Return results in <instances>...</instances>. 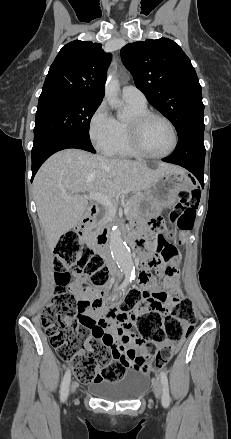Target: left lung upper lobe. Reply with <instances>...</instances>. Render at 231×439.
Listing matches in <instances>:
<instances>
[{"instance_id":"1","label":"left lung upper lobe","mask_w":231,"mask_h":439,"mask_svg":"<svg viewBox=\"0 0 231 439\" xmlns=\"http://www.w3.org/2000/svg\"><path fill=\"white\" fill-rule=\"evenodd\" d=\"M121 58L136 87L167 117L178 133L204 125L202 91L195 69L180 46L168 38L129 43Z\"/></svg>"}]
</instances>
